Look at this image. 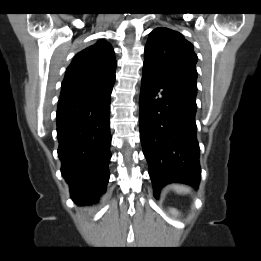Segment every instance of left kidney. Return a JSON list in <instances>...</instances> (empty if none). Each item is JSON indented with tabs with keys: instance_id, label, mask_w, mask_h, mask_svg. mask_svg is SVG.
<instances>
[{
	"instance_id": "left-kidney-1",
	"label": "left kidney",
	"mask_w": 261,
	"mask_h": 261,
	"mask_svg": "<svg viewBox=\"0 0 261 261\" xmlns=\"http://www.w3.org/2000/svg\"><path fill=\"white\" fill-rule=\"evenodd\" d=\"M171 213L176 215V214H178V211L176 209H171Z\"/></svg>"
}]
</instances>
